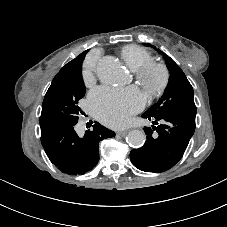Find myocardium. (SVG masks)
<instances>
[{
  "mask_svg": "<svg viewBox=\"0 0 227 227\" xmlns=\"http://www.w3.org/2000/svg\"><path fill=\"white\" fill-rule=\"evenodd\" d=\"M134 74L141 85L151 84L150 99L162 95L170 80L169 70L162 62L150 61L135 70ZM154 75H158V79L152 82Z\"/></svg>",
  "mask_w": 227,
  "mask_h": 227,
  "instance_id": "1",
  "label": "myocardium"
}]
</instances>
